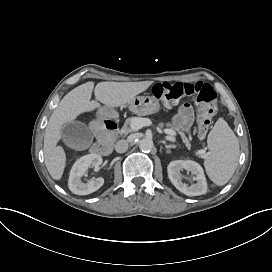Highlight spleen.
Segmentation results:
<instances>
[{
  "instance_id": "obj_1",
  "label": "spleen",
  "mask_w": 272,
  "mask_h": 272,
  "mask_svg": "<svg viewBox=\"0 0 272 272\" xmlns=\"http://www.w3.org/2000/svg\"><path fill=\"white\" fill-rule=\"evenodd\" d=\"M210 150L204 161L209 178L218 186L233 176L239 159V140L223 118H219L207 139Z\"/></svg>"
}]
</instances>
